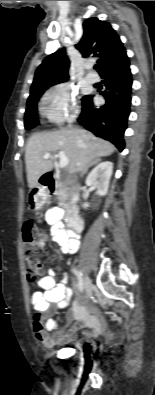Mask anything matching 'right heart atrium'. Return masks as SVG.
I'll use <instances>...</instances> for the list:
<instances>
[{
    "instance_id": "right-heart-atrium-1",
    "label": "right heart atrium",
    "mask_w": 155,
    "mask_h": 395,
    "mask_svg": "<svg viewBox=\"0 0 155 395\" xmlns=\"http://www.w3.org/2000/svg\"><path fill=\"white\" fill-rule=\"evenodd\" d=\"M44 113L53 123L73 120L78 114L76 93L68 83H59L52 87L44 98Z\"/></svg>"
}]
</instances>
